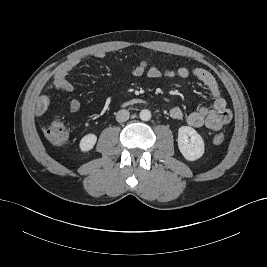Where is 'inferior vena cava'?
<instances>
[{
    "instance_id": "602c4592",
    "label": "inferior vena cava",
    "mask_w": 267,
    "mask_h": 267,
    "mask_svg": "<svg viewBox=\"0 0 267 267\" xmlns=\"http://www.w3.org/2000/svg\"><path fill=\"white\" fill-rule=\"evenodd\" d=\"M130 113L126 109L119 110L116 114V120L118 122H125L129 119Z\"/></svg>"
}]
</instances>
